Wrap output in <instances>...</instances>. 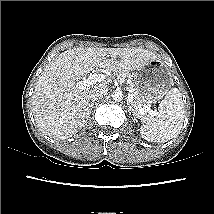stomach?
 Listing matches in <instances>:
<instances>
[{
  "instance_id": "0dacf381",
  "label": "stomach",
  "mask_w": 214,
  "mask_h": 214,
  "mask_svg": "<svg viewBox=\"0 0 214 214\" xmlns=\"http://www.w3.org/2000/svg\"><path fill=\"white\" fill-rule=\"evenodd\" d=\"M173 84V75L167 64L161 59H152L136 71L134 100L142 105L156 103L168 94Z\"/></svg>"
}]
</instances>
